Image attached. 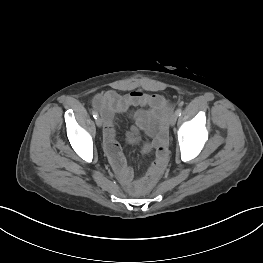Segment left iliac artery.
<instances>
[{
  "mask_svg": "<svg viewBox=\"0 0 263 263\" xmlns=\"http://www.w3.org/2000/svg\"><path fill=\"white\" fill-rule=\"evenodd\" d=\"M176 113H177L178 116H180L181 113H182V109H181V108H178V109L176 110Z\"/></svg>",
  "mask_w": 263,
  "mask_h": 263,
  "instance_id": "44dca946",
  "label": "left iliac artery"
}]
</instances>
